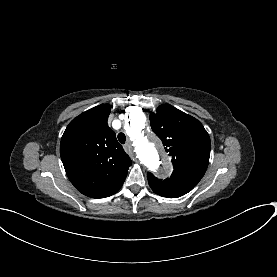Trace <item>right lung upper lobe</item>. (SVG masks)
<instances>
[{"label": "right lung upper lobe", "instance_id": "right-lung-upper-lobe-1", "mask_svg": "<svg viewBox=\"0 0 277 277\" xmlns=\"http://www.w3.org/2000/svg\"><path fill=\"white\" fill-rule=\"evenodd\" d=\"M109 104L87 110L67 126L60 143L61 159L74 187L92 198L116 193L132 162L108 124Z\"/></svg>", "mask_w": 277, "mask_h": 277}]
</instances>
